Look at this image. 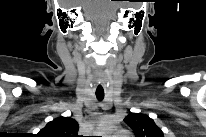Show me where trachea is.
Instances as JSON below:
<instances>
[{"label":"trachea","instance_id":"1","mask_svg":"<svg viewBox=\"0 0 206 137\" xmlns=\"http://www.w3.org/2000/svg\"><path fill=\"white\" fill-rule=\"evenodd\" d=\"M100 88H102L101 86H99ZM96 97L99 101L103 100L104 98V90H102L101 92L96 91Z\"/></svg>","mask_w":206,"mask_h":137}]
</instances>
